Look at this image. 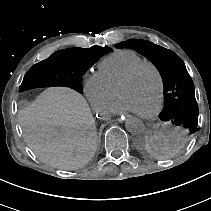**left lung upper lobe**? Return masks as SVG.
Returning a JSON list of instances; mask_svg holds the SVG:
<instances>
[{
  "mask_svg": "<svg viewBox=\"0 0 211 211\" xmlns=\"http://www.w3.org/2000/svg\"><path fill=\"white\" fill-rule=\"evenodd\" d=\"M116 48L136 50L156 66L164 84L160 119L171 123L181 138L193 134L198 124V105L193 81L183 61L171 50L143 39L123 41Z\"/></svg>",
  "mask_w": 211,
  "mask_h": 211,
  "instance_id": "left-lung-upper-lobe-1",
  "label": "left lung upper lobe"
}]
</instances>
